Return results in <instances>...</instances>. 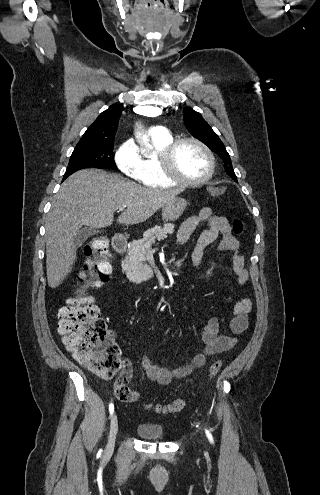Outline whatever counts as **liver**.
Returning a JSON list of instances; mask_svg holds the SVG:
<instances>
[{
    "label": "liver",
    "instance_id": "obj_1",
    "mask_svg": "<svg viewBox=\"0 0 320 495\" xmlns=\"http://www.w3.org/2000/svg\"><path fill=\"white\" fill-rule=\"evenodd\" d=\"M181 190L147 189L117 174L80 170L66 179L46 220V270L51 288L58 287L76 260L74 236L83 225L104 228L118 217L120 224H139L173 200Z\"/></svg>",
    "mask_w": 320,
    "mask_h": 495
}]
</instances>
